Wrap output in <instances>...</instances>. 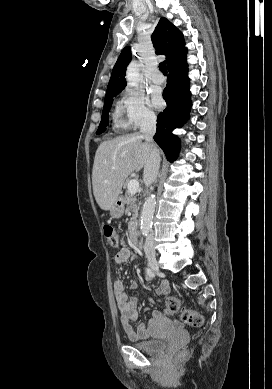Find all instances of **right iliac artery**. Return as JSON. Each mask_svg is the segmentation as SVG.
I'll return each mask as SVG.
<instances>
[{
  "label": "right iliac artery",
  "instance_id": "obj_1",
  "mask_svg": "<svg viewBox=\"0 0 272 389\" xmlns=\"http://www.w3.org/2000/svg\"><path fill=\"white\" fill-rule=\"evenodd\" d=\"M146 274H147L146 277L147 280H151L155 276L154 272L149 268H146Z\"/></svg>",
  "mask_w": 272,
  "mask_h": 389
}]
</instances>
